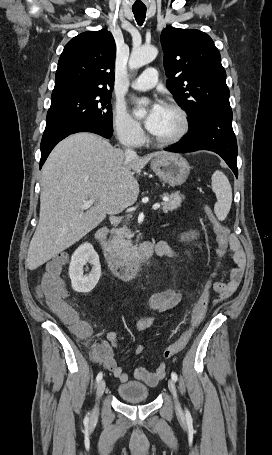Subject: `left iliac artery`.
<instances>
[{
    "label": "left iliac artery",
    "instance_id": "obj_1",
    "mask_svg": "<svg viewBox=\"0 0 272 455\" xmlns=\"http://www.w3.org/2000/svg\"><path fill=\"white\" fill-rule=\"evenodd\" d=\"M171 377H172V379H173L175 382H176L177 379H178V376H177V374H176L175 372H172V373H171ZM186 415H187V416L189 415V411H188L187 409H186Z\"/></svg>",
    "mask_w": 272,
    "mask_h": 455
}]
</instances>
